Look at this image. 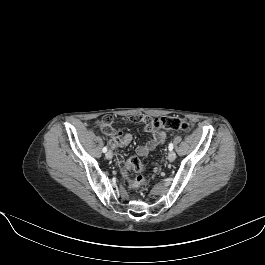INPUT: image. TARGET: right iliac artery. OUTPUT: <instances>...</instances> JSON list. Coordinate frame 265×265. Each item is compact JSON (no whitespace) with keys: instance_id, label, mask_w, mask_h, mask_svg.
<instances>
[{"instance_id":"obj_1","label":"right iliac artery","mask_w":265,"mask_h":265,"mask_svg":"<svg viewBox=\"0 0 265 265\" xmlns=\"http://www.w3.org/2000/svg\"><path fill=\"white\" fill-rule=\"evenodd\" d=\"M104 153L107 152V147H104L103 150H102Z\"/></svg>"}]
</instances>
